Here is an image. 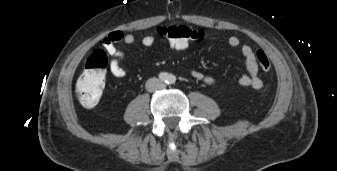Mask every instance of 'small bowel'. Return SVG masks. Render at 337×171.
<instances>
[{
  "mask_svg": "<svg viewBox=\"0 0 337 171\" xmlns=\"http://www.w3.org/2000/svg\"><path fill=\"white\" fill-rule=\"evenodd\" d=\"M136 38L131 33H124L122 31H112L102 39V46L110 56L109 72L116 78H123L128 71L121 64L124 53L117 47L118 43H125L127 45L134 44ZM141 44L144 47H152L155 44V38L152 35H145L141 39ZM228 45L231 47H238L240 39L236 36H231L228 39ZM241 54L245 61L247 73L242 75L239 79V84L243 87H250L259 90L263 86L261 78L258 76V63L253 48L250 45L244 44L241 46ZM191 77L205 85L212 86L215 84L213 77L203 73L200 70L193 69Z\"/></svg>",
  "mask_w": 337,
  "mask_h": 171,
  "instance_id": "c3829d8e",
  "label": "small bowel"
}]
</instances>
